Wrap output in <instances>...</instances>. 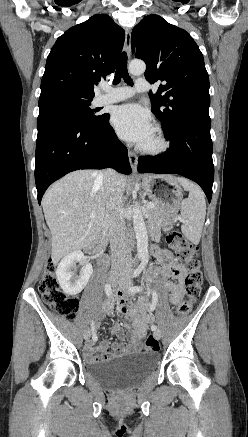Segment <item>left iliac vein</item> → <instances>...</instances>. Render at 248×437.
Returning <instances> with one entry per match:
<instances>
[{
    "label": "left iliac vein",
    "mask_w": 248,
    "mask_h": 437,
    "mask_svg": "<svg viewBox=\"0 0 248 437\" xmlns=\"http://www.w3.org/2000/svg\"><path fill=\"white\" fill-rule=\"evenodd\" d=\"M118 284H119V288L122 289L124 292H126L128 294H132V292L130 291V288L132 286V283L130 280H128L126 278H121ZM153 335L156 339H160L161 338L160 330L156 329L153 332Z\"/></svg>",
    "instance_id": "4c4485c4"
}]
</instances>
